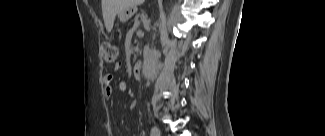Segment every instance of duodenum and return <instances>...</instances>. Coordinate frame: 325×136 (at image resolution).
<instances>
[{
  "label": "duodenum",
  "mask_w": 325,
  "mask_h": 136,
  "mask_svg": "<svg viewBox=\"0 0 325 136\" xmlns=\"http://www.w3.org/2000/svg\"><path fill=\"white\" fill-rule=\"evenodd\" d=\"M142 69H143V66H142L141 62L135 63V65L132 68V73H133L134 77L139 78L141 76Z\"/></svg>",
  "instance_id": "obj_1"
}]
</instances>
